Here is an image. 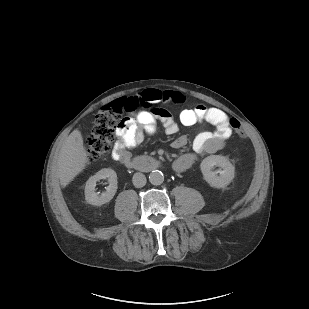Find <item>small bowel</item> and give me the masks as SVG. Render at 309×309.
Wrapping results in <instances>:
<instances>
[{"label":"small bowel","mask_w":309,"mask_h":309,"mask_svg":"<svg viewBox=\"0 0 309 309\" xmlns=\"http://www.w3.org/2000/svg\"><path fill=\"white\" fill-rule=\"evenodd\" d=\"M130 117L124 128L118 130L112 158L126 163L130 159L129 149L139 145L145 135H153L157 131V123L163 125L167 134H175L179 130L178 123L172 115L163 108L154 107L159 102L182 104L185 98L182 94L172 91L161 92L148 89L129 98ZM179 121L184 126H192L198 122L206 121L215 127L214 131L203 130L199 132L192 142V151L181 155L174 163L176 172H184L192 166L200 156L212 154L221 150L225 142L232 135L231 121L227 115L218 108H208L196 105L183 109L179 114ZM188 142L186 136L177 137L173 146L182 148Z\"/></svg>","instance_id":"1"}]
</instances>
